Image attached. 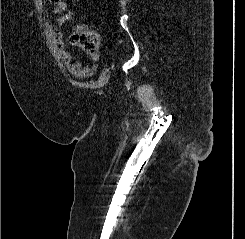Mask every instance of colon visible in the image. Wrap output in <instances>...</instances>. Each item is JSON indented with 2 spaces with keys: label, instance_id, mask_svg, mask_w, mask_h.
<instances>
[{
  "label": "colon",
  "instance_id": "1",
  "mask_svg": "<svg viewBox=\"0 0 245 239\" xmlns=\"http://www.w3.org/2000/svg\"><path fill=\"white\" fill-rule=\"evenodd\" d=\"M51 1L58 2V0ZM70 40L90 54L96 52L99 45V36L94 32H75L71 35Z\"/></svg>",
  "mask_w": 245,
  "mask_h": 239
}]
</instances>
